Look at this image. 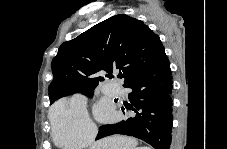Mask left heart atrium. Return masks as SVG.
I'll return each mask as SVG.
<instances>
[{"label": "left heart atrium", "mask_w": 227, "mask_h": 149, "mask_svg": "<svg viewBox=\"0 0 227 149\" xmlns=\"http://www.w3.org/2000/svg\"><path fill=\"white\" fill-rule=\"evenodd\" d=\"M97 115L101 120H108L112 117V111L108 105L101 104L97 109Z\"/></svg>", "instance_id": "39dd6f15"}]
</instances>
